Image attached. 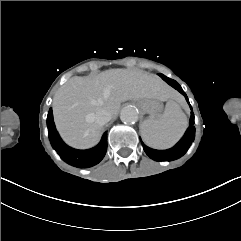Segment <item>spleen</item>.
<instances>
[{"label":"spleen","mask_w":241,"mask_h":241,"mask_svg":"<svg viewBox=\"0 0 241 241\" xmlns=\"http://www.w3.org/2000/svg\"><path fill=\"white\" fill-rule=\"evenodd\" d=\"M187 127V119L178 105L169 101L160 117H150L141 125V135L147 145L165 149L176 143Z\"/></svg>","instance_id":"3e777b00"}]
</instances>
